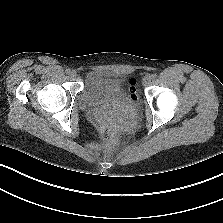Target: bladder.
<instances>
[{"label":"bladder","mask_w":223,"mask_h":223,"mask_svg":"<svg viewBox=\"0 0 223 223\" xmlns=\"http://www.w3.org/2000/svg\"><path fill=\"white\" fill-rule=\"evenodd\" d=\"M79 103L84 108L104 104L135 107L137 98L130 96L125 89L124 77L107 71H94L86 78Z\"/></svg>","instance_id":"1"}]
</instances>
